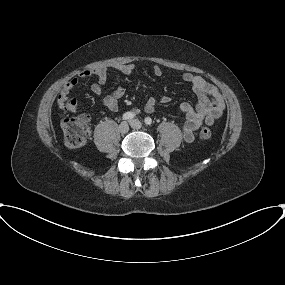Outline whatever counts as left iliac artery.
<instances>
[{
    "label": "left iliac artery",
    "instance_id": "obj_1",
    "mask_svg": "<svg viewBox=\"0 0 285 285\" xmlns=\"http://www.w3.org/2000/svg\"><path fill=\"white\" fill-rule=\"evenodd\" d=\"M144 122H145L146 125H151L152 119H151L150 117H146V118L144 119Z\"/></svg>",
    "mask_w": 285,
    "mask_h": 285
}]
</instances>
